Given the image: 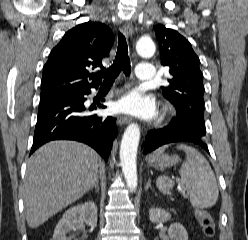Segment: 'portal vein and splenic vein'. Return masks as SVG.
Masks as SVG:
<instances>
[{
	"label": "portal vein and splenic vein",
	"mask_w": 248,
	"mask_h": 240,
	"mask_svg": "<svg viewBox=\"0 0 248 240\" xmlns=\"http://www.w3.org/2000/svg\"><path fill=\"white\" fill-rule=\"evenodd\" d=\"M179 191L183 192V189L182 188H179Z\"/></svg>",
	"instance_id": "obj_1"
}]
</instances>
